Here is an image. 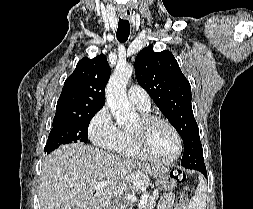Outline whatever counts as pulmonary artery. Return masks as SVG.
Wrapping results in <instances>:
<instances>
[{
	"label": "pulmonary artery",
	"mask_w": 253,
	"mask_h": 209,
	"mask_svg": "<svg viewBox=\"0 0 253 209\" xmlns=\"http://www.w3.org/2000/svg\"><path fill=\"white\" fill-rule=\"evenodd\" d=\"M128 98L136 106L142 108L150 107L151 102L148 93L138 85L130 86L128 89Z\"/></svg>",
	"instance_id": "pulmonary-artery-1"
}]
</instances>
